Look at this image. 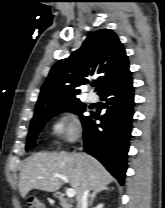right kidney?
<instances>
[{"label":"right kidney","mask_w":165,"mask_h":208,"mask_svg":"<svg viewBox=\"0 0 165 208\" xmlns=\"http://www.w3.org/2000/svg\"><path fill=\"white\" fill-rule=\"evenodd\" d=\"M95 208H103V204H99Z\"/></svg>","instance_id":"obj_1"}]
</instances>
